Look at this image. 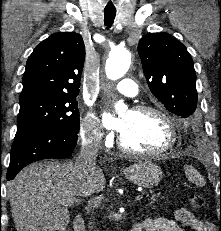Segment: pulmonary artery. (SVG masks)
Segmentation results:
<instances>
[{"mask_svg":"<svg viewBox=\"0 0 221 231\" xmlns=\"http://www.w3.org/2000/svg\"><path fill=\"white\" fill-rule=\"evenodd\" d=\"M114 88L124 96L136 97L138 96V88L136 83L131 79H123L118 82Z\"/></svg>","mask_w":221,"mask_h":231,"instance_id":"1","label":"pulmonary artery"}]
</instances>
